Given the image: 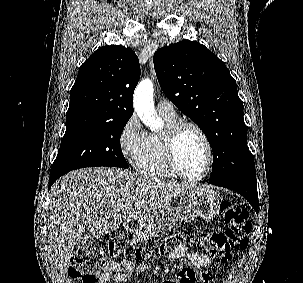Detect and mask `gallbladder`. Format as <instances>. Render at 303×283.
I'll return each mask as SVG.
<instances>
[{
  "label": "gallbladder",
  "mask_w": 303,
  "mask_h": 283,
  "mask_svg": "<svg viewBox=\"0 0 303 283\" xmlns=\"http://www.w3.org/2000/svg\"><path fill=\"white\" fill-rule=\"evenodd\" d=\"M97 239H98L97 236L83 235L77 240L76 249L85 250Z\"/></svg>",
  "instance_id": "1"
}]
</instances>
